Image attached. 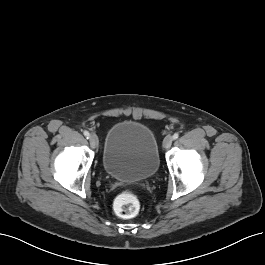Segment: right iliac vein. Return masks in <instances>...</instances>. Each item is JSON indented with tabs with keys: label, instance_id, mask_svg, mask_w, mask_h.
<instances>
[{
	"label": "right iliac vein",
	"instance_id": "right-iliac-vein-1",
	"mask_svg": "<svg viewBox=\"0 0 265 265\" xmlns=\"http://www.w3.org/2000/svg\"><path fill=\"white\" fill-rule=\"evenodd\" d=\"M89 141L92 148H96L98 146V137L96 134H91L89 137Z\"/></svg>",
	"mask_w": 265,
	"mask_h": 265
}]
</instances>
